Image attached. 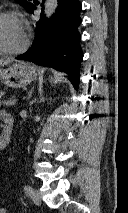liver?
Here are the masks:
<instances>
[{
  "instance_id": "6515ba94",
  "label": "liver",
  "mask_w": 128,
  "mask_h": 213,
  "mask_svg": "<svg viewBox=\"0 0 128 213\" xmlns=\"http://www.w3.org/2000/svg\"><path fill=\"white\" fill-rule=\"evenodd\" d=\"M10 63L9 60H0V67L4 65H8Z\"/></svg>"
}]
</instances>
